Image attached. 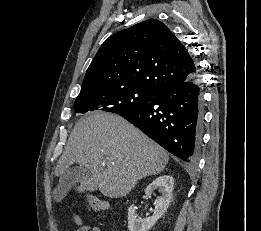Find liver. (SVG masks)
Masks as SVG:
<instances>
[{"label": "liver", "mask_w": 261, "mask_h": 231, "mask_svg": "<svg viewBox=\"0 0 261 231\" xmlns=\"http://www.w3.org/2000/svg\"><path fill=\"white\" fill-rule=\"evenodd\" d=\"M167 152L119 115L93 112L74 126L55 175L73 164L86 167L91 177L75 187L78 193L98 190L105 196L123 197L144 177L160 173Z\"/></svg>", "instance_id": "6515ba94"}]
</instances>
